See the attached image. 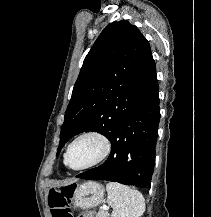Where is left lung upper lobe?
<instances>
[{"mask_svg":"<svg viewBox=\"0 0 211 217\" xmlns=\"http://www.w3.org/2000/svg\"><path fill=\"white\" fill-rule=\"evenodd\" d=\"M157 84L149 42L126 20L110 23L87 54L60 132L63 145L81 132L110 139L114 127Z\"/></svg>","mask_w":211,"mask_h":217,"instance_id":"1","label":"left lung upper lobe"}]
</instances>
